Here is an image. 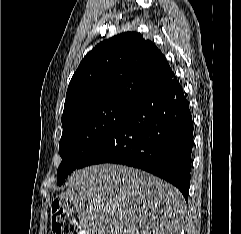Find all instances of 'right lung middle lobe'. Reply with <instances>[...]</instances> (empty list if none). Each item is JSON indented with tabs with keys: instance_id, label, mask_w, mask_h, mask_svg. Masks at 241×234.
<instances>
[{
	"instance_id": "dd1d6c3e",
	"label": "right lung middle lobe",
	"mask_w": 241,
	"mask_h": 234,
	"mask_svg": "<svg viewBox=\"0 0 241 234\" xmlns=\"http://www.w3.org/2000/svg\"><path fill=\"white\" fill-rule=\"evenodd\" d=\"M132 106L133 103L123 101L104 102L80 108L62 118L58 185L80 167L86 155L120 123Z\"/></svg>"
}]
</instances>
